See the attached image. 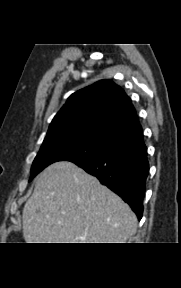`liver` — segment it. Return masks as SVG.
I'll return each mask as SVG.
<instances>
[{
  "label": "liver",
  "mask_w": 181,
  "mask_h": 288,
  "mask_svg": "<svg viewBox=\"0 0 181 288\" xmlns=\"http://www.w3.org/2000/svg\"><path fill=\"white\" fill-rule=\"evenodd\" d=\"M22 222L26 243H126L137 228L119 196L67 161L39 174Z\"/></svg>",
  "instance_id": "6515ba94"
}]
</instances>
